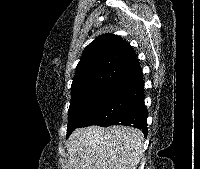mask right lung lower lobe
Segmentation results:
<instances>
[{
	"label": "right lung lower lobe",
	"instance_id": "obj_1",
	"mask_svg": "<svg viewBox=\"0 0 200 169\" xmlns=\"http://www.w3.org/2000/svg\"><path fill=\"white\" fill-rule=\"evenodd\" d=\"M148 111L144 105L142 74L118 83L106 101L79 127L125 125L139 128L147 135Z\"/></svg>",
	"mask_w": 200,
	"mask_h": 169
}]
</instances>
